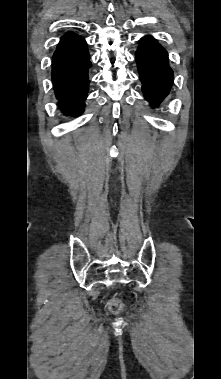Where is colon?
Wrapping results in <instances>:
<instances>
[{
    "label": "colon",
    "instance_id": "5ec220e1",
    "mask_svg": "<svg viewBox=\"0 0 221 379\" xmlns=\"http://www.w3.org/2000/svg\"><path fill=\"white\" fill-rule=\"evenodd\" d=\"M108 308L114 312L117 313L122 309V304L119 300L112 298L107 302Z\"/></svg>",
    "mask_w": 221,
    "mask_h": 379
}]
</instances>
